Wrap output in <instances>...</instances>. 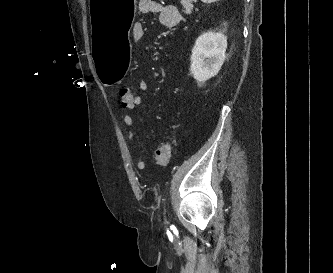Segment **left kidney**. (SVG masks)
Wrapping results in <instances>:
<instances>
[{"mask_svg":"<svg viewBox=\"0 0 333 273\" xmlns=\"http://www.w3.org/2000/svg\"><path fill=\"white\" fill-rule=\"evenodd\" d=\"M227 37L221 32L200 35L192 49L190 72L198 82L214 77L226 58Z\"/></svg>","mask_w":333,"mask_h":273,"instance_id":"5707ae66","label":"left kidney"}]
</instances>
